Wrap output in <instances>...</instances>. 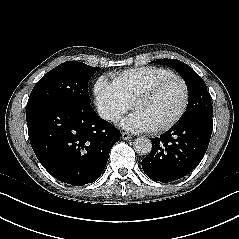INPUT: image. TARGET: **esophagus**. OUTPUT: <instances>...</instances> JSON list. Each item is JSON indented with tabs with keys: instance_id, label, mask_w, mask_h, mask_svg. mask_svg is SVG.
<instances>
[{
	"instance_id": "34e87169",
	"label": "esophagus",
	"mask_w": 239,
	"mask_h": 239,
	"mask_svg": "<svg viewBox=\"0 0 239 239\" xmlns=\"http://www.w3.org/2000/svg\"><path fill=\"white\" fill-rule=\"evenodd\" d=\"M121 138L123 140H129V139H131V135L129 133H127V132H122L121 133Z\"/></svg>"
}]
</instances>
